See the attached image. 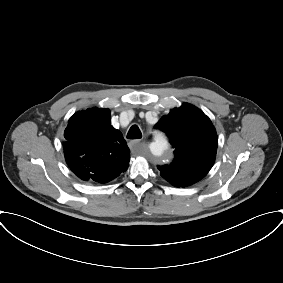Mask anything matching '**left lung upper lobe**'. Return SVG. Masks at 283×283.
Masks as SVG:
<instances>
[{"instance_id": "obj_1", "label": "left lung upper lobe", "mask_w": 283, "mask_h": 283, "mask_svg": "<svg viewBox=\"0 0 283 283\" xmlns=\"http://www.w3.org/2000/svg\"><path fill=\"white\" fill-rule=\"evenodd\" d=\"M173 148L171 164L158 166L161 176L174 186L185 187L202 179L211 169L218 138L210 119L198 108L184 104L163 116L156 125Z\"/></svg>"}]
</instances>
